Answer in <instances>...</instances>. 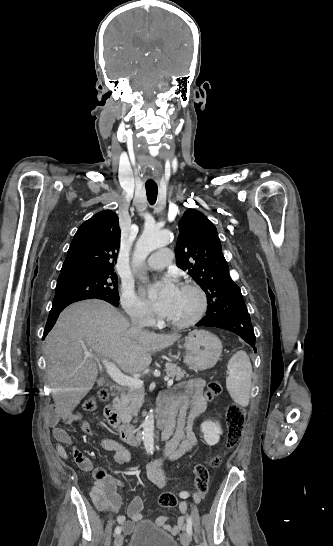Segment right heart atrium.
Returning <instances> with one entry per match:
<instances>
[{
	"label": "right heart atrium",
	"mask_w": 333,
	"mask_h": 546,
	"mask_svg": "<svg viewBox=\"0 0 333 546\" xmlns=\"http://www.w3.org/2000/svg\"><path fill=\"white\" fill-rule=\"evenodd\" d=\"M121 304L125 312L134 321L146 324L153 321L150 311L136 295L130 285L123 284L121 287Z\"/></svg>",
	"instance_id": "1"
}]
</instances>
